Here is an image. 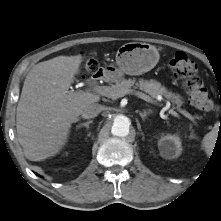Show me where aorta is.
Instances as JSON below:
<instances>
[{"label":"aorta","mask_w":221,"mask_h":221,"mask_svg":"<svg viewBox=\"0 0 221 221\" xmlns=\"http://www.w3.org/2000/svg\"><path fill=\"white\" fill-rule=\"evenodd\" d=\"M130 124L129 118L125 115H114L111 133L115 136L125 137L129 134Z\"/></svg>","instance_id":"762f6f07"}]
</instances>
